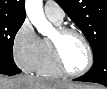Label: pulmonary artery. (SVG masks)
<instances>
[{
    "instance_id": "1",
    "label": "pulmonary artery",
    "mask_w": 107,
    "mask_h": 89,
    "mask_svg": "<svg viewBox=\"0 0 107 89\" xmlns=\"http://www.w3.org/2000/svg\"><path fill=\"white\" fill-rule=\"evenodd\" d=\"M45 15L56 22L61 23L65 13L63 9L54 1H47L44 5Z\"/></svg>"
}]
</instances>
